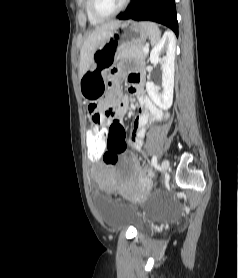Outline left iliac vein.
<instances>
[{"instance_id":"left-iliac-vein-1","label":"left iliac vein","mask_w":238,"mask_h":278,"mask_svg":"<svg viewBox=\"0 0 238 278\" xmlns=\"http://www.w3.org/2000/svg\"><path fill=\"white\" fill-rule=\"evenodd\" d=\"M169 168V160L168 159H164L161 163V171L162 172H166Z\"/></svg>"}]
</instances>
